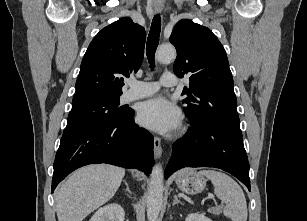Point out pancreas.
<instances>
[{
    "mask_svg": "<svg viewBox=\"0 0 307 221\" xmlns=\"http://www.w3.org/2000/svg\"><path fill=\"white\" fill-rule=\"evenodd\" d=\"M221 211H222V207H220V206L210 209V213H213L215 215H219L221 213Z\"/></svg>",
    "mask_w": 307,
    "mask_h": 221,
    "instance_id": "pancreas-1",
    "label": "pancreas"
}]
</instances>
